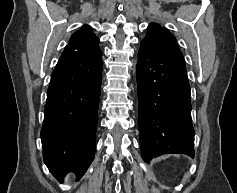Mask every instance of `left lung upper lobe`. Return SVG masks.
<instances>
[{
  "label": "left lung upper lobe",
  "mask_w": 237,
  "mask_h": 193,
  "mask_svg": "<svg viewBox=\"0 0 237 193\" xmlns=\"http://www.w3.org/2000/svg\"><path fill=\"white\" fill-rule=\"evenodd\" d=\"M142 42L148 43L167 54L184 60L174 35L159 24L151 23L148 26L147 34Z\"/></svg>",
  "instance_id": "1"
}]
</instances>
